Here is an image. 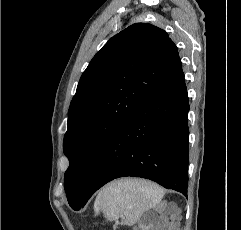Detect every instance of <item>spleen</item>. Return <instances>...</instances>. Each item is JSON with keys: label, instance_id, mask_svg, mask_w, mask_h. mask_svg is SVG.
Wrapping results in <instances>:
<instances>
[{"label": "spleen", "instance_id": "1", "mask_svg": "<svg viewBox=\"0 0 241 230\" xmlns=\"http://www.w3.org/2000/svg\"><path fill=\"white\" fill-rule=\"evenodd\" d=\"M164 190L157 184L125 178L103 187L95 200L96 215L101 211L107 220L124 216L126 225L135 224L142 214L161 202Z\"/></svg>", "mask_w": 241, "mask_h": 230}]
</instances>
